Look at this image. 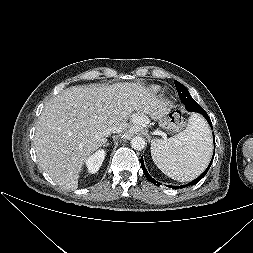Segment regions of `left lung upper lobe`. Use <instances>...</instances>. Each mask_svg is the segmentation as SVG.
Returning <instances> with one entry per match:
<instances>
[{"label":"left lung upper lobe","mask_w":253,"mask_h":253,"mask_svg":"<svg viewBox=\"0 0 253 253\" xmlns=\"http://www.w3.org/2000/svg\"><path fill=\"white\" fill-rule=\"evenodd\" d=\"M174 83L182 103L186 105V109L188 111H192V109H194L198 103L191 97L185 86L176 80H174Z\"/></svg>","instance_id":"left-lung-upper-lobe-1"}]
</instances>
